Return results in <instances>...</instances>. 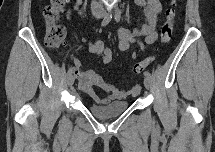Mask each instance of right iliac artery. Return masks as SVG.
<instances>
[{
	"mask_svg": "<svg viewBox=\"0 0 215 152\" xmlns=\"http://www.w3.org/2000/svg\"><path fill=\"white\" fill-rule=\"evenodd\" d=\"M112 19V13H108L101 22V26H106ZM71 74V70L69 69L67 75Z\"/></svg>",
	"mask_w": 215,
	"mask_h": 152,
	"instance_id": "right-iliac-artery-1",
	"label": "right iliac artery"
}]
</instances>
